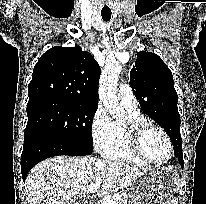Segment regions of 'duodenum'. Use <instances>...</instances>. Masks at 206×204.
Wrapping results in <instances>:
<instances>
[{"label":"duodenum","instance_id":"duodenum-1","mask_svg":"<svg viewBox=\"0 0 206 204\" xmlns=\"http://www.w3.org/2000/svg\"><path fill=\"white\" fill-rule=\"evenodd\" d=\"M90 204H96L95 202H91Z\"/></svg>","mask_w":206,"mask_h":204}]
</instances>
